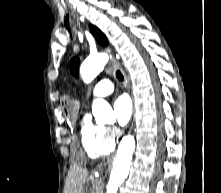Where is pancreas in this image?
<instances>
[{"label":"pancreas","mask_w":221,"mask_h":193,"mask_svg":"<svg viewBox=\"0 0 221 193\" xmlns=\"http://www.w3.org/2000/svg\"><path fill=\"white\" fill-rule=\"evenodd\" d=\"M95 188H96V190H97L96 193H101L100 186H99V181H98V180H95Z\"/></svg>","instance_id":"obj_1"}]
</instances>
